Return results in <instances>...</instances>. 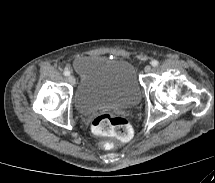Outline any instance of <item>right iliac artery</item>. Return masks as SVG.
I'll list each match as a JSON object with an SVG mask.
<instances>
[{"label": "right iliac artery", "mask_w": 215, "mask_h": 183, "mask_svg": "<svg viewBox=\"0 0 215 183\" xmlns=\"http://www.w3.org/2000/svg\"><path fill=\"white\" fill-rule=\"evenodd\" d=\"M64 75H65V76H69V75H70V71H69L68 69H65V70H64Z\"/></svg>", "instance_id": "obj_1"}]
</instances>
